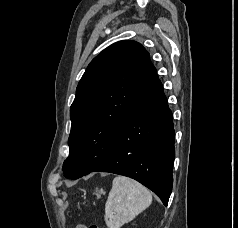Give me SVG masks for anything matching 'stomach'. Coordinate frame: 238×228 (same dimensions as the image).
<instances>
[{
    "label": "stomach",
    "mask_w": 238,
    "mask_h": 228,
    "mask_svg": "<svg viewBox=\"0 0 238 228\" xmlns=\"http://www.w3.org/2000/svg\"><path fill=\"white\" fill-rule=\"evenodd\" d=\"M102 193H104V190L103 189H100V190H96V195L98 196V197H100V195L102 194Z\"/></svg>",
    "instance_id": "stomach-1"
}]
</instances>
